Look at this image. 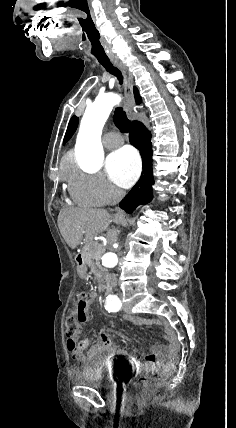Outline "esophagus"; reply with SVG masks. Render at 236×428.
I'll return each mask as SVG.
<instances>
[{
  "mask_svg": "<svg viewBox=\"0 0 236 428\" xmlns=\"http://www.w3.org/2000/svg\"><path fill=\"white\" fill-rule=\"evenodd\" d=\"M114 65H116V67H118L121 72L124 74L125 78H126V86H125V91H124V95H125V112L130 115L132 109H133V105H134V97H133V81H134V77L132 75L131 72H129L128 68L126 65H124L121 62L118 61H114L113 62Z\"/></svg>",
  "mask_w": 236,
  "mask_h": 428,
  "instance_id": "esophagus-1",
  "label": "esophagus"
}]
</instances>
